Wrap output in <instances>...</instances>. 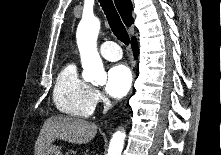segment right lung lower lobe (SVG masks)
<instances>
[{"label":"right lung lower lobe","mask_w":221,"mask_h":155,"mask_svg":"<svg viewBox=\"0 0 221 155\" xmlns=\"http://www.w3.org/2000/svg\"><path fill=\"white\" fill-rule=\"evenodd\" d=\"M131 46H132V49H133L134 57L137 58V55H138V45H137V41H136L135 38H132Z\"/></svg>","instance_id":"right-lung-lower-lobe-1"}]
</instances>
